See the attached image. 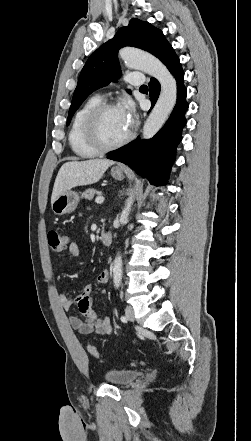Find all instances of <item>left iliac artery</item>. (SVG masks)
<instances>
[{"label": "left iliac artery", "instance_id": "1", "mask_svg": "<svg viewBox=\"0 0 251 441\" xmlns=\"http://www.w3.org/2000/svg\"><path fill=\"white\" fill-rule=\"evenodd\" d=\"M121 321L126 323L127 322V317L126 316H121Z\"/></svg>", "mask_w": 251, "mask_h": 441}]
</instances>
